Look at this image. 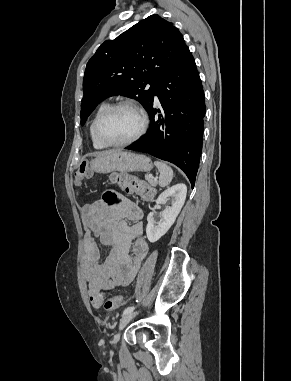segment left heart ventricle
<instances>
[{
  "label": "left heart ventricle",
  "mask_w": 291,
  "mask_h": 381,
  "mask_svg": "<svg viewBox=\"0 0 291 381\" xmlns=\"http://www.w3.org/2000/svg\"><path fill=\"white\" fill-rule=\"evenodd\" d=\"M139 114L131 108H120L111 113L102 123L104 136L113 142H122L133 137L140 128Z\"/></svg>",
  "instance_id": "left-heart-ventricle-1"
}]
</instances>
